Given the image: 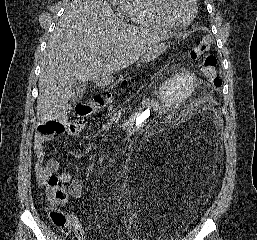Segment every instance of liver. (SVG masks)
<instances>
[{
	"mask_svg": "<svg viewBox=\"0 0 257 240\" xmlns=\"http://www.w3.org/2000/svg\"><path fill=\"white\" fill-rule=\"evenodd\" d=\"M166 36L116 19L105 0H73L50 36L41 62L37 118L56 117L74 80L90 81L132 65Z\"/></svg>",
	"mask_w": 257,
	"mask_h": 240,
	"instance_id": "1",
	"label": "liver"
}]
</instances>
